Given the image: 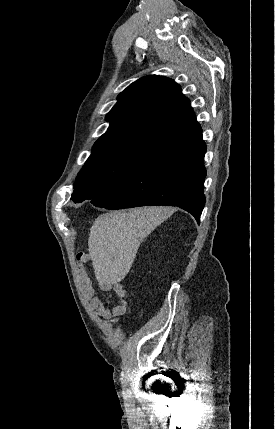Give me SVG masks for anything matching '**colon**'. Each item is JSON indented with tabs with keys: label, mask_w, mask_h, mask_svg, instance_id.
I'll list each match as a JSON object with an SVG mask.
<instances>
[{
	"label": "colon",
	"mask_w": 275,
	"mask_h": 429,
	"mask_svg": "<svg viewBox=\"0 0 275 429\" xmlns=\"http://www.w3.org/2000/svg\"><path fill=\"white\" fill-rule=\"evenodd\" d=\"M83 258H84V256H83L82 254H79V255H78V260H79V261H82V260H83Z\"/></svg>",
	"instance_id": "colon-1"
}]
</instances>
